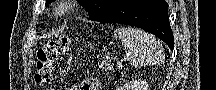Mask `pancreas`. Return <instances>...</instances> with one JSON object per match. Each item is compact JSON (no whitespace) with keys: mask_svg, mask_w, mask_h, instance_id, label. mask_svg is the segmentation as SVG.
Masks as SVG:
<instances>
[{"mask_svg":"<svg viewBox=\"0 0 216 90\" xmlns=\"http://www.w3.org/2000/svg\"><path fill=\"white\" fill-rule=\"evenodd\" d=\"M101 72H108V69H111V64H100Z\"/></svg>","mask_w":216,"mask_h":90,"instance_id":"obj_1","label":"pancreas"}]
</instances>
